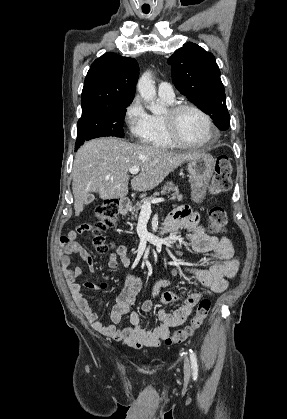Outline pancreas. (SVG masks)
<instances>
[{
    "instance_id": "pancreas-1",
    "label": "pancreas",
    "mask_w": 287,
    "mask_h": 419,
    "mask_svg": "<svg viewBox=\"0 0 287 419\" xmlns=\"http://www.w3.org/2000/svg\"><path fill=\"white\" fill-rule=\"evenodd\" d=\"M169 193L172 192L171 194V200H178L181 201L182 200V195L179 193V189L178 186H175L173 184V182H167L166 185L164 186V188L161 190V192H156L153 196H150L146 199L141 200L140 202H137L135 206H133L130 210L131 214L135 217H137L138 215V211L142 208V205L145 201H151L153 199L156 198V196H158L159 194H164V193Z\"/></svg>"
}]
</instances>
